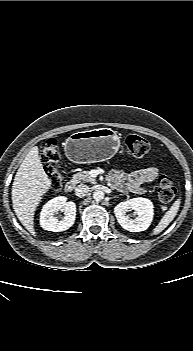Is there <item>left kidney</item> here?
<instances>
[{
    "instance_id": "5707ae66",
    "label": "left kidney",
    "mask_w": 193,
    "mask_h": 351,
    "mask_svg": "<svg viewBox=\"0 0 193 351\" xmlns=\"http://www.w3.org/2000/svg\"><path fill=\"white\" fill-rule=\"evenodd\" d=\"M152 202L147 198H132L130 200L120 202L114 208V214L118 223L130 232H141L146 230L153 219L154 210ZM134 210L137 217L131 219L126 213Z\"/></svg>"
}]
</instances>
